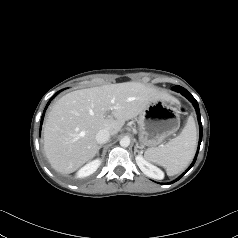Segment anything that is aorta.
Listing matches in <instances>:
<instances>
[{
	"label": "aorta",
	"mask_w": 238,
	"mask_h": 238,
	"mask_svg": "<svg viewBox=\"0 0 238 238\" xmlns=\"http://www.w3.org/2000/svg\"><path fill=\"white\" fill-rule=\"evenodd\" d=\"M120 145L122 147H128L130 145V139L128 137H124L120 140Z\"/></svg>",
	"instance_id": "1"
}]
</instances>
